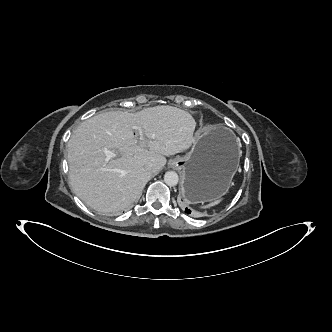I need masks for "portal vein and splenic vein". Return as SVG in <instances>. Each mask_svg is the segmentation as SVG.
Returning <instances> with one entry per match:
<instances>
[{"label": "portal vein and splenic vein", "instance_id": "portal-vein-and-splenic-vein-1", "mask_svg": "<svg viewBox=\"0 0 332 332\" xmlns=\"http://www.w3.org/2000/svg\"><path fill=\"white\" fill-rule=\"evenodd\" d=\"M138 132H139V136H140V139H142V130L140 129V128H138ZM104 153H105V155H106V157L108 158V159H111L112 157H114L115 156V153L113 152V151H111V150H108V149H106L105 151H104Z\"/></svg>", "mask_w": 332, "mask_h": 332}]
</instances>
